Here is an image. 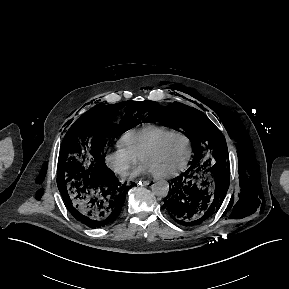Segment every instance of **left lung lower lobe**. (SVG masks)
Listing matches in <instances>:
<instances>
[{"instance_id": "1", "label": "left lung lower lobe", "mask_w": 289, "mask_h": 289, "mask_svg": "<svg viewBox=\"0 0 289 289\" xmlns=\"http://www.w3.org/2000/svg\"><path fill=\"white\" fill-rule=\"evenodd\" d=\"M211 171L212 176H208ZM230 180L229 166L216 168L191 164L180 176L171 180L165 201L168 215L184 226L199 225L220 208Z\"/></svg>"}]
</instances>
